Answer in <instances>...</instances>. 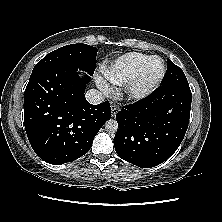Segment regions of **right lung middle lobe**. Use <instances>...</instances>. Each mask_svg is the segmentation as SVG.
Returning <instances> with one entry per match:
<instances>
[{
	"instance_id": "1",
	"label": "right lung middle lobe",
	"mask_w": 222,
	"mask_h": 222,
	"mask_svg": "<svg viewBox=\"0 0 222 222\" xmlns=\"http://www.w3.org/2000/svg\"><path fill=\"white\" fill-rule=\"evenodd\" d=\"M97 52L95 47L86 44L66 45L47 54L35 65L32 74L54 66L70 65L92 75Z\"/></svg>"
}]
</instances>
